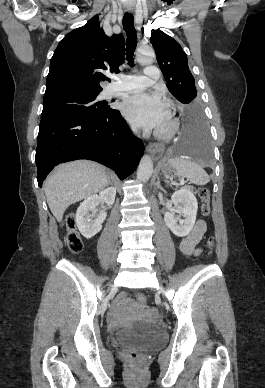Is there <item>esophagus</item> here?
Listing matches in <instances>:
<instances>
[{
	"mask_svg": "<svg viewBox=\"0 0 265 388\" xmlns=\"http://www.w3.org/2000/svg\"><path fill=\"white\" fill-rule=\"evenodd\" d=\"M133 9H127V12L132 13ZM153 158H159L165 151V146L162 143H150L146 148Z\"/></svg>",
	"mask_w": 265,
	"mask_h": 388,
	"instance_id": "1",
	"label": "esophagus"
}]
</instances>
